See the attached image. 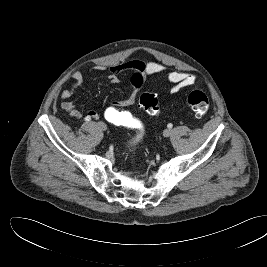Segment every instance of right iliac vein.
<instances>
[{"label": "right iliac vein", "mask_w": 267, "mask_h": 267, "mask_svg": "<svg viewBox=\"0 0 267 267\" xmlns=\"http://www.w3.org/2000/svg\"><path fill=\"white\" fill-rule=\"evenodd\" d=\"M98 126H99V128H100L101 130H103V131H105V130L107 129L106 124L103 123V122H99V123H98Z\"/></svg>", "instance_id": "63e3f726"}]
</instances>
